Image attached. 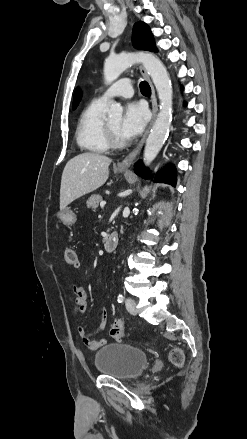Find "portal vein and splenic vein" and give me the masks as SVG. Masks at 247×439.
I'll return each instance as SVG.
<instances>
[{
	"mask_svg": "<svg viewBox=\"0 0 247 439\" xmlns=\"http://www.w3.org/2000/svg\"><path fill=\"white\" fill-rule=\"evenodd\" d=\"M105 204H106V202H101L100 203L101 208H103L105 206Z\"/></svg>",
	"mask_w": 247,
	"mask_h": 439,
	"instance_id": "1",
	"label": "portal vein and splenic vein"
}]
</instances>
